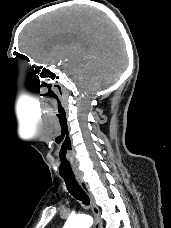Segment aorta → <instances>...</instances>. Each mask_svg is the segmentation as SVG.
<instances>
[{
  "label": "aorta",
  "mask_w": 171,
  "mask_h": 228,
  "mask_svg": "<svg viewBox=\"0 0 171 228\" xmlns=\"http://www.w3.org/2000/svg\"><path fill=\"white\" fill-rule=\"evenodd\" d=\"M92 218L88 215H77L69 217L63 228H90Z\"/></svg>",
  "instance_id": "1"
}]
</instances>
